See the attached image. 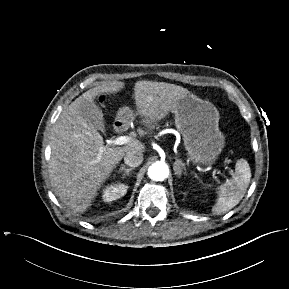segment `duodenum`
I'll use <instances>...</instances> for the list:
<instances>
[{
	"label": "duodenum",
	"instance_id": "obj_1",
	"mask_svg": "<svg viewBox=\"0 0 289 289\" xmlns=\"http://www.w3.org/2000/svg\"><path fill=\"white\" fill-rule=\"evenodd\" d=\"M127 128H128V122L123 119L117 120L114 124V129L118 133L125 131Z\"/></svg>",
	"mask_w": 289,
	"mask_h": 289
}]
</instances>
